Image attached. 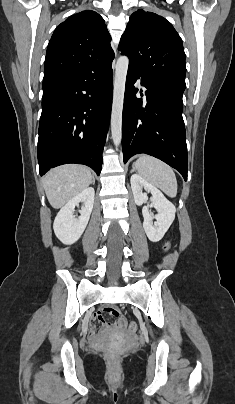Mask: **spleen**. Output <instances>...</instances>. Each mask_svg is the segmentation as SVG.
Returning a JSON list of instances; mask_svg holds the SVG:
<instances>
[{
  "label": "spleen",
  "mask_w": 235,
  "mask_h": 404,
  "mask_svg": "<svg viewBox=\"0 0 235 404\" xmlns=\"http://www.w3.org/2000/svg\"><path fill=\"white\" fill-rule=\"evenodd\" d=\"M133 166L146 181L160 188L169 197H176L177 180L170 166L149 155H141Z\"/></svg>",
  "instance_id": "spleen-1"
}]
</instances>
